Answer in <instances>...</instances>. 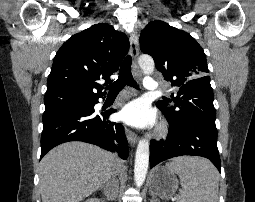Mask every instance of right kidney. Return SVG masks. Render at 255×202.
Returning a JSON list of instances; mask_svg holds the SVG:
<instances>
[{"mask_svg":"<svg viewBox=\"0 0 255 202\" xmlns=\"http://www.w3.org/2000/svg\"><path fill=\"white\" fill-rule=\"evenodd\" d=\"M85 202H101V200L100 199H96V198H91V199H88Z\"/></svg>","mask_w":255,"mask_h":202,"instance_id":"ca27d5eb","label":"right kidney"}]
</instances>
